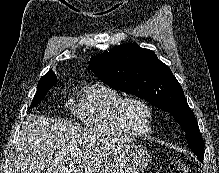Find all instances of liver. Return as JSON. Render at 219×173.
I'll use <instances>...</instances> for the list:
<instances>
[{
    "instance_id": "liver-1",
    "label": "liver",
    "mask_w": 219,
    "mask_h": 173,
    "mask_svg": "<svg viewBox=\"0 0 219 173\" xmlns=\"http://www.w3.org/2000/svg\"><path fill=\"white\" fill-rule=\"evenodd\" d=\"M122 145L95 130L30 114L16 143L14 173H92Z\"/></svg>"
}]
</instances>
